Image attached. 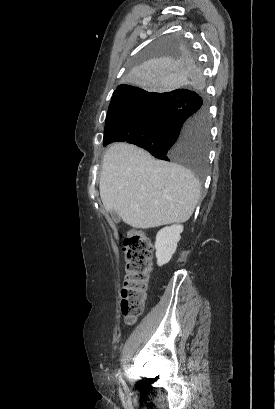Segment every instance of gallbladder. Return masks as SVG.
<instances>
[{"label":"gallbladder","instance_id":"1","mask_svg":"<svg viewBox=\"0 0 275 409\" xmlns=\"http://www.w3.org/2000/svg\"><path fill=\"white\" fill-rule=\"evenodd\" d=\"M111 217H112V221H114V223H120L121 217H119V215H117V213H115V211H112Z\"/></svg>","mask_w":275,"mask_h":409}]
</instances>
